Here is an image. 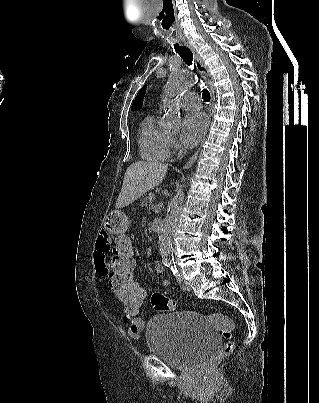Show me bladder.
Instances as JSON below:
<instances>
[{
    "label": "bladder",
    "instance_id": "bladder-1",
    "mask_svg": "<svg viewBox=\"0 0 319 403\" xmlns=\"http://www.w3.org/2000/svg\"><path fill=\"white\" fill-rule=\"evenodd\" d=\"M210 322L195 312L154 315L146 327L149 351L171 367L192 371L219 347Z\"/></svg>",
    "mask_w": 319,
    "mask_h": 403
}]
</instances>
